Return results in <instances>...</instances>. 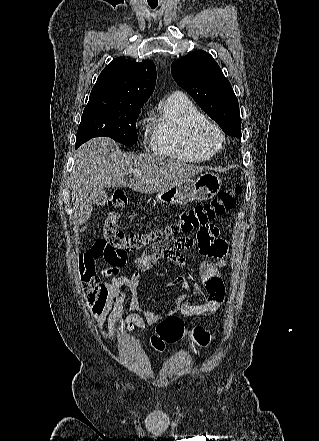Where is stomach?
<instances>
[{
    "label": "stomach",
    "instance_id": "1",
    "mask_svg": "<svg viewBox=\"0 0 319 441\" xmlns=\"http://www.w3.org/2000/svg\"><path fill=\"white\" fill-rule=\"evenodd\" d=\"M222 180L218 174L205 172L196 179H186L179 184L156 194L159 203L182 206L189 202L213 198L221 189Z\"/></svg>",
    "mask_w": 319,
    "mask_h": 441
}]
</instances>
